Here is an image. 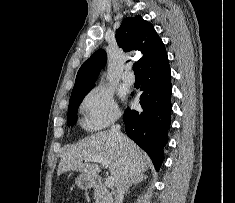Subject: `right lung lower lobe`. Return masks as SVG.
<instances>
[{
  "label": "right lung lower lobe",
  "instance_id": "98d812e1",
  "mask_svg": "<svg viewBox=\"0 0 235 203\" xmlns=\"http://www.w3.org/2000/svg\"><path fill=\"white\" fill-rule=\"evenodd\" d=\"M141 74L142 110L126 109L123 120L128 137L147 152L155 168L159 170L171 122L172 87L168 56L148 66Z\"/></svg>",
  "mask_w": 235,
  "mask_h": 203
}]
</instances>
